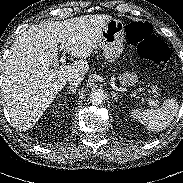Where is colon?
<instances>
[{
	"instance_id": "5ec220e1",
	"label": "colon",
	"mask_w": 183,
	"mask_h": 183,
	"mask_svg": "<svg viewBox=\"0 0 183 183\" xmlns=\"http://www.w3.org/2000/svg\"><path fill=\"white\" fill-rule=\"evenodd\" d=\"M128 42L135 46L139 55L161 68H166L171 60L168 46L158 37L153 35L149 24L132 22L126 27Z\"/></svg>"
}]
</instances>
